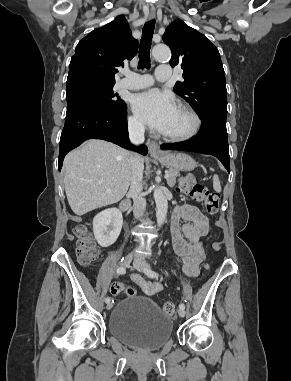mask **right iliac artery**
Here are the masks:
<instances>
[{
    "instance_id": "1",
    "label": "right iliac artery",
    "mask_w": 291,
    "mask_h": 381,
    "mask_svg": "<svg viewBox=\"0 0 291 381\" xmlns=\"http://www.w3.org/2000/svg\"><path fill=\"white\" fill-rule=\"evenodd\" d=\"M116 272H117L118 275L125 274L126 269H125L124 267H119V268H117ZM105 302H106V303L110 302V298L107 297V298L105 299Z\"/></svg>"
}]
</instances>
